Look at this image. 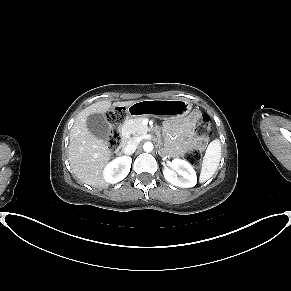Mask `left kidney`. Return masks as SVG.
<instances>
[{"label":"left kidney","instance_id":"5707ae66","mask_svg":"<svg viewBox=\"0 0 291 291\" xmlns=\"http://www.w3.org/2000/svg\"><path fill=\"white\" fill-rule=\"evenodd\" d=\"M172 167L177 173L168 167L163 169L164 178L169 183L181 188H189L196 185V172L189 162L176 158L172 160Z\"/></svg>","mask_w":291,"mask_h":291}]
</instances>
